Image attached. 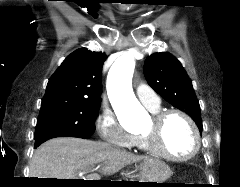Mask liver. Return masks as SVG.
<instances>
[{"label":"liver","instance_id":"1","mask_svg":"<svg viewBox=\"0 0 240 187\" xmlns=\"http://www.w3.org/2000/svg\"><path fill=\"white\" fill-rule=\"evenodd\" d=\"M149 159L103 142L60 137L48 140L34 152L29 175L30 178L77 179L79 173H88L96 165L106 175Z\"/></svg>","mask_w":240,"mask_h":187}]
</instances>
